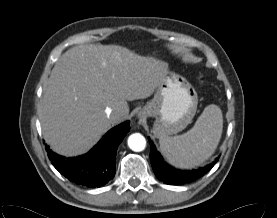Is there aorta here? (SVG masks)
I'll list each match as a JSON object with an SVG mask.
<instances>
[{"label":"aorta","instance_id":"obj_1","mask_svg":"<svg viewBox=\"0 0 277 218\" xmlns=\"http://www.w3.org/2000/svg\"><path fill=\"white\" fill-rule=\"evenodd\" d=\"M128 146L135 152L143 151L146 147V140L140 133H134L128 138Z\"/></svg>","mask_w":277,"mask_h":218}]
</instances>
